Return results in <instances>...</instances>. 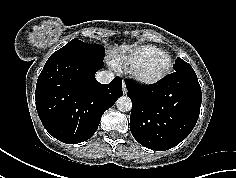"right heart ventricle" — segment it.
Returning a JSON list of instances; mask_svg holds the SVG:
<instances>
[{"mask_svg":"<svg viewBox=\"0 0 236 178\" xmlns=\"http://www.w3.org/2000/svg\"><path fill=\"white\" fill-rule=\"evenodd\" d=\"M162 50L153 45H140L129 50L127 54L116 61L117 65H124L126 67H134L137 63L144 59L161 52Z\"/></svg>","mask_w":236,"mask_h":178,"instance_id":"e07e8e85","label":"right heart ventricle"}]
</instances>
